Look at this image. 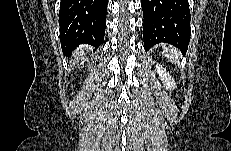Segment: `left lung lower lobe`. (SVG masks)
Wrapping results in <instances>:
<instances>
[{
  "instance_id": "1",
  "label": "left lung lower lobe",
  "mask_w": 231,
  "mask_h": 151,
  "mask_svg": "<svg viewBox=\"0 0 231 151\" xmlns=\"http://www.w3.org/2000/svg\"><path fill=\"white\" fill-rule=\"evenodd\" d=\"M145 50L160 42L170 43L184 54L190 41L187 0H141Z\"/></svg>"
}]
</instances>
